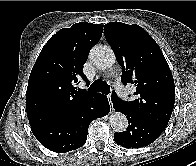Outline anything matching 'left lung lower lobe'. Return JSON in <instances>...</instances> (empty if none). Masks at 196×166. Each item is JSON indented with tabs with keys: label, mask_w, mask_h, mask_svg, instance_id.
<instances>
[{
	"label": "left lung lower lobe",
	"mask_w": 196,
	"mask_h": 166,
	"mask_svg": "<svg viewBox=\"0 0 196 166\" xmlns=\"http://www.w3.org/2000/svg\"><path fill=\"white\" fill-rule=\"evenodd\" d=\"M113 103L115 111L125 114L128 119L127 130L114 133L115 142L125 148L144 147L155 141L165 130V126L140 118L118 104Z\"/></svg>",
	"instance_id": "obj_1"
}]
</instances>
